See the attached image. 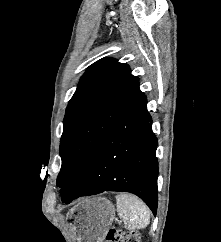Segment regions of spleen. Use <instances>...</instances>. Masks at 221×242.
I'll list each match as a JSON object with an SVG mask.
<instances>
[{
  "mask_svg": "<svg viewBox=\"0 0 221 242\" xmlns=\"http://www.w3.org/2000/svg\"><path fill=\"white\" fill-rule=\"evenodd\" d=\"M117 212L130 231L144 229L150 222L149 209L145 203L132 194L116 195Z\"/></svg>",
  "mask_w": 221,
  "mask_h": 242,
  "instance_id": "3e777b00",
  "label": "spleen"
}]
</instances>
